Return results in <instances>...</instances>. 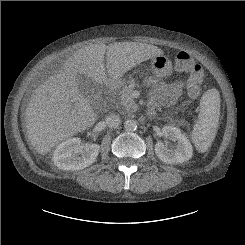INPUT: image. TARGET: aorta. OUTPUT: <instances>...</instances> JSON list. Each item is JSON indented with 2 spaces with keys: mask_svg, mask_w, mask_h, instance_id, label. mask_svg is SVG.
Here are the masks:
<instances>
[{
  "mask_svg": "<svg viewBox=\"0 0 245 245\" xmlns=\"http://www.w3.org/2000/svg\"><path fill=\"white\" fill-rule=\"evenodd\" d=\"M124 129L126 131H135L137 129V121L134 119H128L124 122Z\"/></svg>",
  "mask_w": 245,
  "mask_h": 245,
  "instance_id": "aorta-1",
  "label": "aorta"
}]
</instances>
